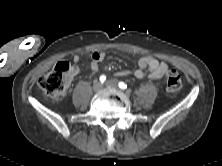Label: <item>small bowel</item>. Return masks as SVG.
Here are the masks:
<instances>
[{
  "mask_svg": "<svg viewBox=\"0 0 222 166\" xmlns=\"http://www.w3.org/2000/svg\"><path fill=\"white\" fill-rule=\"evenodd\" d=\"M90 68L92 71L97 72L99 70V64L105 59V53L94 51L90 54ZM74 60L77 62L79 56H75ZM167 64L158 60L153 56H143L138 60L137 68L133 71L121 70L117 72L118 76L134 75L138 79L144 78L147 74L152 80L161 79L167 71ZM78 69L75 67L73 74H76Z\"/></svg>",
  "mask_w": 222,
  "mask_h": 166,
  "instance_id": "1",
  "label": "small bowel"
}]
</instances>
